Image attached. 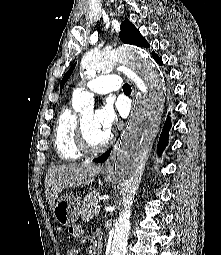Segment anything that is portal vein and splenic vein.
<instances>
[{
    "instance_id": "1",
    "label": "portal vein and splenic vein",
    "mask_w": 221,
    "mask_h": 255,
    "mask_svg": "<svg viewBox=\"0 0 221 255\" xmlns=\"http://www.w3.org/2000/svg\"><path fill=\"white\" fill-rule=\"evenodd\" d=\"M100 210H101V205L96 204V206L94 208V213L97 214L100 212Z\"/></svg>"
}]
</instances>
